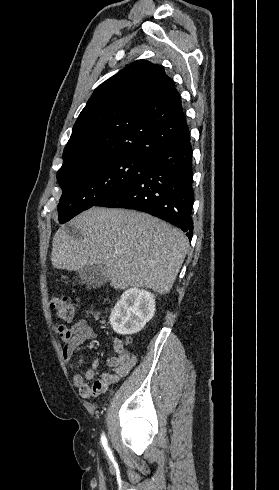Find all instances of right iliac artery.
<instances>
[{
	"label": "right iliac artery",
	"mask_w": 279,
	"mask_h": 490,
	"mask_svg": "<svg viewBox=\"0 0 279 490\" xmlns=\"http://www.w3.org/2000/svg\"><path fill=\"white\" fill-rule=\"evenodd\" d=\"M101 442H102V445L107 448V439L105 437V435L103 434L102 437H101Z\"/></svg>",
	"instance_id": "82829eb1"
}]
</instances>
